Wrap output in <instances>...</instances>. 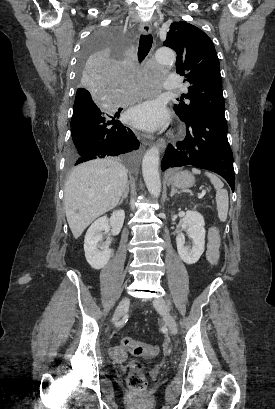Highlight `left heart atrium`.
Masks as SVG:
<instances>
[{
	"mask_svg": "<svg viewBox=\"0 0 275 409\" xmlns=\"http://www.w3.org/2000/svg\"><path fill=\"white\" fill-rule=\"evenodd\" d=\"M131 125L146 131H156L167 126L169 116L164 107L154 100L141 102L128 113Z\"/></svg>",
	"mask_w": 275,
	"mask_h": 409,
	"instance_id": "39dd6f15",
	"label": "left heart atrium"
}]
</instances>
